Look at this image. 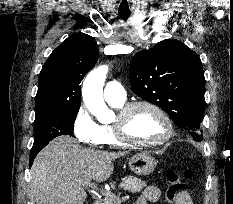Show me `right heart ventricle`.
<instances>
[{"label": "right heart ventricle", "mask_w": 233, "mask_h": 204, "mask_svg": "<svg viewBox=\"0 0 233 204\" xmlns=\"http://www.w3.org/2000/svg\"><path fill=\"white\" fill-rule=\"evenodd\" d=\"M109 104L116 109H120L124 105V102H120V103L109 102ZM100 131H101V136H102V144L107 145V146H113V147L124 145L117 138L115 131H114L113 124L101 125Z\"/></svg>", "instance_id": "e07e8e85"}]
</instances>
